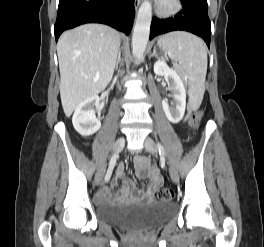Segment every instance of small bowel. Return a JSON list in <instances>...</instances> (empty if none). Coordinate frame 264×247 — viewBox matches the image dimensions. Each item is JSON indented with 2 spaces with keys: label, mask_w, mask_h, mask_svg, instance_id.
<instances>
[{
  "label": "small bowel",
  "mask_w": 264,
  "mask_h": 247,
  "mask_svg": "<svg viewBox=\"0 0 264 247\" xmlns=\"http://www.w3.org/2000/svg\"><path fill=\"white\" fill-rule=\"evenodd\" d=\"M136 175L139 178H148L149 186L145 192H142L136 186L125 185L118 196L113 195L112 188L117 184V180L124 175V167L119 166L117 176L111 183V186L102 188L96 195V200L101 203L119 200V199H144L152 200L158 188L162 184V177L156 167L145 156H138L134 162Z\"/></svg>",
  "instance_id": "c3829d8e"
}]
</instances>
